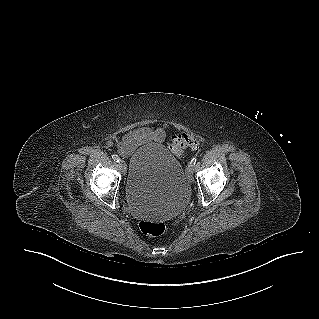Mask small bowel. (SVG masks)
Instances as JSON below:
<instances>
[{
  "label": "small bowel",
  "mask_w": 319,
  "mask_h": 319,
  "mask_svg": "<svg viewBox=\"0 0 319 319\" xmlns=\"http://www.w3.org/2000/svg\"><path fill=\"white\" fill-rule=\"evenodd\" d=\"M186 130L191 134L189 129ZM165 139L166 132L162 128L139 127L122 137L118 144V151L123 157H128L144 144L149 142L162 143Z\"/></svg>",
  "instance_id": "obj_1"
}]
</instances>
